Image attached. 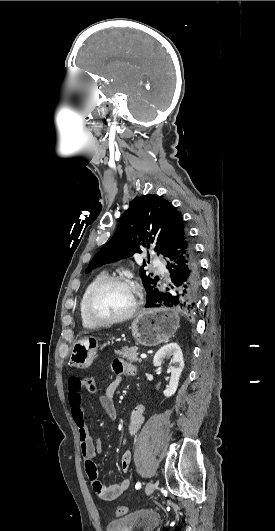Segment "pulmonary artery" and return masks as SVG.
Here are the masks:
<instances>
[{
    "label": "pulmonary artery",
    "mask_w": 275,
    "mask_h": 531,
    "mask_svg": "<svg viewBox=\"0 0 275 531\" xmlns=\"http://www.w3.org/2000/svg\"><path fill=\"white\" fill-rule=\"evenodd\" d=\"M151 261L153 262L152 263L153 268L156 269L159 274L164 275L167 273L168 268L165 265L163 260L159 259L157 256H153L151 258Z\"/></svg>",
    "instance_id": "1"
}]
</instances>
